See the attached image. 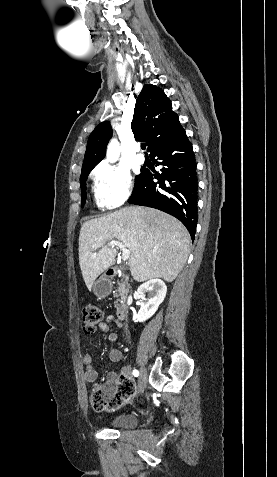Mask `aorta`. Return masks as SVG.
<instances>
[{
	"label": "aorta",
	"instance_id": "aorta-1",
	"mask_svg": "<svg viewBox=\"0 0 277 477\" xmlns=\"http://www.w3.org/2000/svg\"><path fill=\"white\" fill-rule=\"evenodd\" d=\"M120 155V147L117 139H112L107 147V160L114 163L118 160Z\"/></svg>",
	"mask_w": 277,
	"mask_h": 477
}]
</instances>
